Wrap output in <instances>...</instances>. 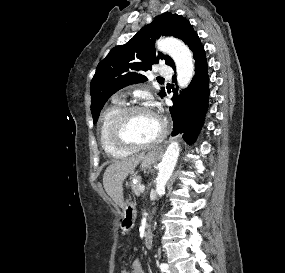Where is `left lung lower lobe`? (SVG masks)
Segmentation results:
<instances>
[{
    "label": "left lung lower lobe",
    "instance_id": "obj_1",
    "mask_svg": "<svg viewBox=\"0 0 285 273\" xmlns=\"http://www.w3.org/2000/svg\"><path fill=\"white\" fill-rule=\"evenodd\" d=\"M186 44L194 55L195 76L185 90L179 94L174 91L173 106L169 110L173 119L172 135L183 133L185 141L191 144L196 140L207 111L209 77L205 51L196 32L190 35ZM172 68L175 70V65Z\"/></svg>",
    "mask_w": 285,
    "mask_h": 273
}]
</instances>
